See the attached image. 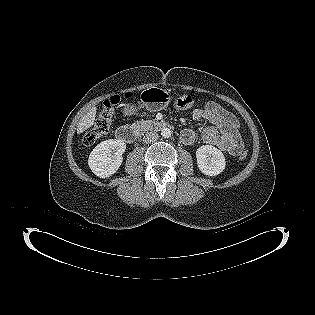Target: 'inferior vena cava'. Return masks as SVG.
Returning <instances> with one entry per match:
<instances>
[{"label": "inferior vena cava", "instance_id": "inferior-vena-cava-1", "mask_svg": "<svg viewBox=\"0 0 315 315\" xmlns=\"http://www.w3.org/2000/svg\"><path fill=\"white\" fill-rule=\"evenodd\" d=\"M158 138H159L158 133L149 132V133L145 134V136L143 137V141L145 143H151V142H155Z\"/></svg>", "mask_w": 315, "mask_h": 315}]
</instances>
